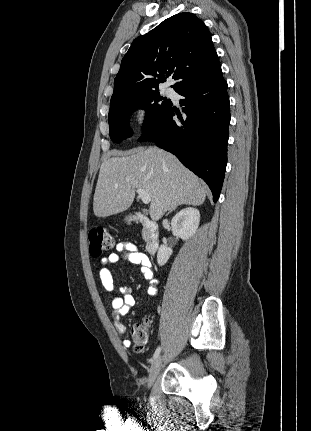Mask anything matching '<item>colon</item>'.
<instances>
[{"label":"colon","mask_w":311,"mask_h":431,"mask_svg":"<svg viewBox=\"0 0 311 431\" xmlns=\"http://www.w3.org/2000/svg\"><path fill=\"white\" fill-rule=\"evenodd\" d=\"M89 240V250L92 257H99L101 254L114 247V239L112 235L106 229L101 227L91 230ZM131 332L134 350L136 352H143L151 333V322L147 320L139 322L133 326Z\"/></svg>","instance_id":"colon-1"}]
</instances>
